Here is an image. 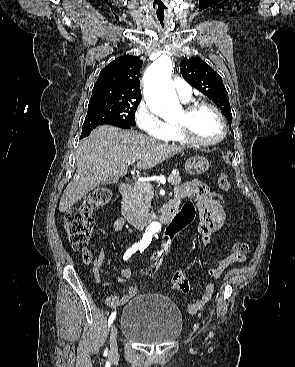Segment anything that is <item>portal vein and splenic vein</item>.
<instances>
[{
    "instance_id": "portal-vein-and-splenic-vein-1",
    "label": "portal vein and splenic vein",
    "mask_w": 295,
    "mask_h": 367,
    "mask_svg": "<svg viewBox=\"0 0 295 367\" xmlns=\"http://www.w3.org/2000/svg\"><path fill=\"white\" fill-rule=\"evenodd\" d=\"M136 160H134L133 162H135ZM132 162V163H133ZM171 180H172V177L171 176H169L168 178H167V181L168 182H171ZM135 184L137 185V184H141V182H135Z\"/></svg>"
}]
</instances>
